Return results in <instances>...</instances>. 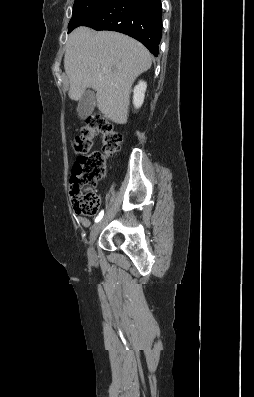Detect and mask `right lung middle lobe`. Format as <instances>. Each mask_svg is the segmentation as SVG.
Returning <instances> with one entry per match:
<instances>
[{"label":"right lung middle lobe","instance_id":"right-lung-middle-lobe-1","mask_svg":"<svg viewBox=\"0 0 254 397\" xmlns=\"http://www.w3.org/2000/svg\"><path fill=\"white\" fill-rule=\"evenodd\" d=\"M109 0H75L68 33L97 14Z\"/></svg>","mask_w":254,"mask_h":397}]
</instances>
